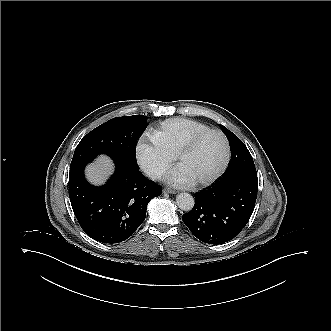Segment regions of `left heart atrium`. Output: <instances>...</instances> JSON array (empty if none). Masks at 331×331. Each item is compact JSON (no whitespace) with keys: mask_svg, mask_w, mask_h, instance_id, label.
<instances>
[{"mask_svg":"<svg viewBox=\"0 0 331 331\" xmlns=\"http://www.w3.org/2000/svg\"><path fill=\"white\" fill-rule=\"evenodd\" d=\"M193 179L180 167L172 170L166 177V182L175 187H187Z\"/></svg>","mask_w":331,"mask_h":331,"instance_id":"39dd6f15","label":"left heart atrium"}]
</instances>
